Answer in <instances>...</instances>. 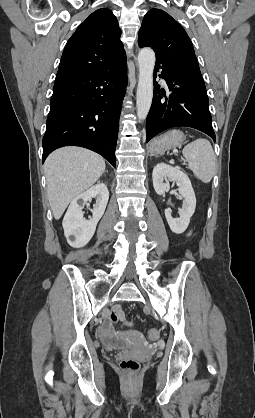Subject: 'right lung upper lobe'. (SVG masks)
<instances>
[{
	"instance_id": "obj_1",
	"label": "right lung upper lobe",
	"mask_w": 255,
	"mask_h": 418,
	"mask_svg": "<svg viewBox=\"0 0 255 418\" xmlns=\"http://www.w3.org/2000/svg\"><path fill=\"white\" fill-rule=\"evenodd\" d=\"M121 30L111 10L93 12L68 40L57 78L117 67L126 62Z\"/></svg>"
}]
</instances>
